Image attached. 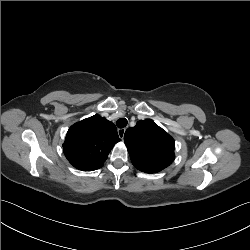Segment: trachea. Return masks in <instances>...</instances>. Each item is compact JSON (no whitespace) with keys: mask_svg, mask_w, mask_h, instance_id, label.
Wrapping results in <instances>:
<instances>
[{"mask_svg":"<svg viewBox=\"0 0 250 250\" xmlns=\"http://www.w3.org/2000/svg\"><path fill=\"white\" fill-rule=\"evenodd\" d=\"M128 121L125 118H120L116 121V125L118 128H124L127 125Z\"/></svg>","mask_w":250,"mask_h":250,"instance_id":"obj_1","label":"trachea"}]
</instances>
